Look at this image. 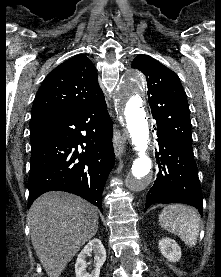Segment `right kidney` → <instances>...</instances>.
I'll use <instances>...</instances> for the list:
<instances>
[{
    "instance_id": "obj_1",
    "label": "right kidney",
    "mask_w": 221,
    "mask_h": 277,
    "mask_svg": "<svg viewBox=\"0 0 221 277\" xmlns=\"http://www.w3.org/2000/svg\"><path fill=\"white\" fill-rule=\"evenodd\" d=\"M94 253L95 268L91 273L86 271V257ZM106 260V250L100 239L94 238L79 253L76 264L75 273L76 277H99L100 269Z\"/></svg>"
}]
</instances>
